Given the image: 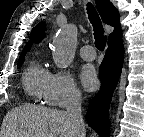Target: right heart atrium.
Masks as SVG:
<instances>
[{"label": "right heart atrium", "mask_w": 144, "mask_h": 137, "mask_svg": "<svg viewBox=\"0 0 144 137\" xmlns=\"http://www.w3.org/2000/svg\"><path fill=\"white\" fill-rule=\"evenodd\" d=\"M43 98L49 106L67 107L79 102L81 93L72 73L60 70L50 74Z\"/></svg>", "instance_id": "1"}]
</instances>
